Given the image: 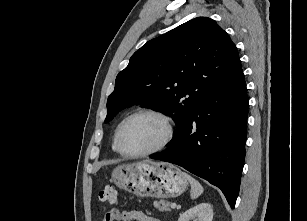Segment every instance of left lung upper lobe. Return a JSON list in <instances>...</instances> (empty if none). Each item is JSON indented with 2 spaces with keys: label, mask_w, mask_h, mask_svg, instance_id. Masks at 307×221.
<instances>
[{
  "label": "left lung upper lobe",
  "mask_w": 307,
  "mask_h": 221,
  "mask_svg": "<svg viewBox=\"0 0 307 221\" xmlns=\"http://www.w3.org/2000/svg\"><path fill=\"white\" fill-rule=\"evenodd\" d=\"M239 60L228 34L206 17L192 19L148 41L116 77L105 122L133 105L173 118L180 130L195 106L212 93Z\"/></svg>",
  "instance_id": "obj_1"
}]
</instances>
